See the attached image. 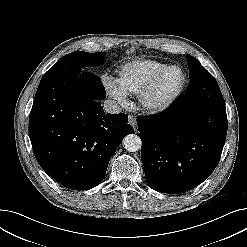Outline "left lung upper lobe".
Returning <instances> with one entry per match:
<instances>
[{"label":"left lung upper lobe","mask_w":247,"mask_h":247,"mask_svg":"<svg viewBox=\"0 0 247 247\" xmlns=\"http://www.w3.org/2000/svg\"><path fill=\"white\" fill-rule=\"evenodd\" d=\"M186 60L189 68V78L196 80L202 77V75L210 74L193 56L186 55ZM190 91V84L188 85L186 92Z\"/></svg>","instance_id":"obj_1"}]
</instances>
